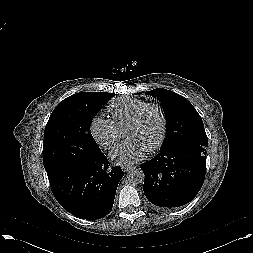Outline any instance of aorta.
<instances>
[{
  "label": "aorta",
  "mask_w": 253,
  "mask_h": 253,
  "mask_svg": "<svg viewBox=\"0 0 253 253\" xmlns=\"http://www.w3.org/2000/svg\"><path fill=\"white\" fill-rule=\"evenodd\" d=\"M127 178L132 184H139L144 181L145 174L142 169L136 168L128 172Z\"/></svg>",
  "instance_id": "obj_1"
}]
</instances>
